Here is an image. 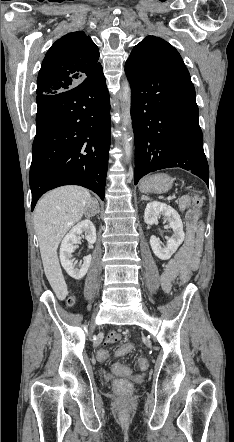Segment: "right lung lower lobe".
<instances>
[{
    "mask_svg": "<svg viewBox=\"0 0 234 442\" xmlns=\"http://www.w3.org/2000/svg\"><path fill=\"white\" fill-rule=\"evenodd\" d=\"M36 102L31 209L48 190L70 184L104 200L111 119L103 70L69 90L38 94Z\"/></svg>",
    "mask_w": 234,
    "mask_h": 442,
    "instance_id": "1",
    "label": "right lung lower lobe"
}]
</instances>
